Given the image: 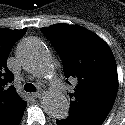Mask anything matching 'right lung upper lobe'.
<instances>
[{"label": "right lung upper lobe", "instance_id": "obj_1", "mask_svg": "<svg viewBox=\"0 0 125 125\" xmlns=\"http://www.w3.org/2000/svg\"><path fill=\"white\" fill-rule=\"evenodd\" d=\"M27 29L9 30L0 28V117L24 101L17 95L14 86H9L14 76L8 70L7 58L13 44L26 33Z\"/></svg>", "mask_w": 125, "mask_h": 125}]
</instances>
